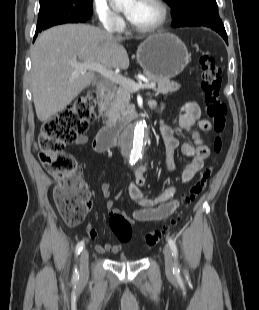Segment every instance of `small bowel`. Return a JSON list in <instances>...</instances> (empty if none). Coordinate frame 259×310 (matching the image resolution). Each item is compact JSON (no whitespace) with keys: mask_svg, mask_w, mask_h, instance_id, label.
Returning <instances> with one entry per match:
<instances>
[{"mask_svg":"<svg viewBox=\"0 0 259 310\" xmlns=\"http://www.w3.org/2000/svg\"><path fill=\"white\" fill-rule=\"evenodd\" d=\"M156 113L163 108L162 105L155 104L153 106ZM179 110L181 115L177 118L176 128L188 133L192 141H186L179 143L178 139L174 136L173 129L164 124L162 120L160 123V133L164 142L166 150L165 168L168 173L177 172L178 176L183 183H189L194 176L203 168L204 160L209 156V148L204 143L199 131L195 130L194 127L197 124L201 131L208 132L211 128L210 123L201 119L200 106L195 101H186L183 103ZM88 141L87 136H80L75 140L76 145L86 144ZM180 147L181 152L184 156L190 158L189 163L177 168L174 163V154ZM145 171L146 167L143 165L138 166L134 172V181L128 186V194L132 201L141 206L140 209L135 210L132 216L129 217L124 215L129 222L145 223L150 221H160L166 219L173 214L179 207L180 203L178 199H174L176 194V187L174 185L167 186L155 197L146 196L141 187L145 184ZM101 191L104 197L108 198L112 192V185L109 182L101 184ZM92 204L89 207L91 209ZM109 214L120 213L113 206V201H109L107 204ZM87 235L90 239L97 238V231L90 227L87 228ZM122 244H96L95 249L98 253H113L117 254L121 251Z\"/></svg>","mask_w":259,"mask_h":310,"instance_id":"1","label":"small bowel"}]
</instances>
